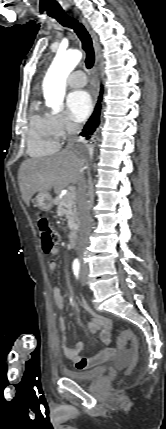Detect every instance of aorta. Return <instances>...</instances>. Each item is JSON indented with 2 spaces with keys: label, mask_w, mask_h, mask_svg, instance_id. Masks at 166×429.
I'll return each instance as SVG.
<instances>
[{
  "label": "aorta",
  "mask_w": 166,
  "mask_h": 429,
  "mask_svg": "<svg viewBox=\"0 0 166 429\" xmlns=\"http://www.w3.org/2000/svg\"><path fill=\"white\" fill-rule=\"evenodd\" d=\"M82 58L79 50L60 51L55 56L43 81L46 105L57 113L61 111L66 89V78Z\"/></svg>",
  "instance_id": "762f6f07"
}]
</instances>
